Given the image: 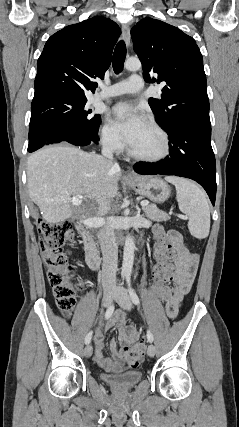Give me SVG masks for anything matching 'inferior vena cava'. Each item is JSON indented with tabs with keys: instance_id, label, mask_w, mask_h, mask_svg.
Wrapping results in <instances>:
<instances>
[{
	"instance_id": "602c4592",
	"label": "inferior vena cava",
	"mask_w": 239,
	"mask_h": 427,
	"mask_svg": "<svg viewBox=\"0 0 239 427\" xmlns=\"http://www.w3.org/2000/svg\"><path fill=\"white\" fill-rule=\"evenodd\" d=\"M115 148L114 140L108 139L104 142L102 155L113 160V151ZM114 167L119 169L118 163H114ZM98 239L103 255L102 265V286L104 290L116 289V271L118 261V246L114 229L111 225H106L98 233Z\"/></svg>"
}]
</instances>
